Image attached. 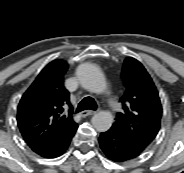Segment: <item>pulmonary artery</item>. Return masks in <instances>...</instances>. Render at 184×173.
I'll return each mask as SVG.
<instances>
[{
  "mask_svg": "<svg viewBox=\"0 0 184 173\" xmlns=\"http://www.w3.org/2000/svg\"><path fill=\"white\" fill-rule=\"evenodd\" d=\"M115 109H116V110H118L119 108H118V107H116Z\"/></svg>",
  "mask_w": 184,
  "mask_h": 173,
  "instance_id": "1",
  "label": "pulmonary artery"
}]
</instances>
